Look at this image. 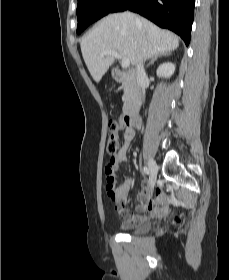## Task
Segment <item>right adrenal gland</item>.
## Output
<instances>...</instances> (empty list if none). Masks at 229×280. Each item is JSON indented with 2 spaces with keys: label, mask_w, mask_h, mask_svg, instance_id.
Listing matches in <instances>:
<instances>
[{
  "label": "right adrenal gland",
  "mask_w": 229,
  "mask_h": 280,
  "mask_svg": "<svg viewBox=\"0 0 229 280\" xmlns=\"http://www.w3.org/2000/svg\"><path fill=\"white\" fill-rule=\"evenodd\" d=\"M168 54H169V53L166 52V53H160V54H158V55H155V56L151 59V61L148 63L147 67H149L150 65L154 64V62H155L159 57L166 56V55H168Z\"/></svg>",
  "instance_id": "2a0ac1e0"
}]
</instances>
